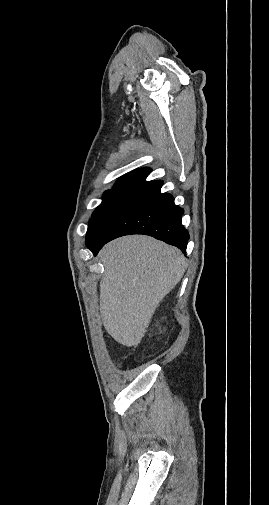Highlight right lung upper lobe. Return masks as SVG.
Segmentation results:
<instances>
[{
  "label": "right lung upper lobe",
  "instance_id": "right-lung-upper-lobe-1",
  "mask_svg": "<svg viewBox=\"0 0 269 505\" xmlns=\"http://www.w3.org/2000/svg\"><path fill=\"white\" fill-rule=\"evenodd\" d=\"M150 169H136L125 175H123L113 188H126V189H134L141 190L145 186H147L152 181H146V177L150 173Z\"/></svg>",
  "mask_w": 269,
  "mask_h": 505
}]
</instances>
